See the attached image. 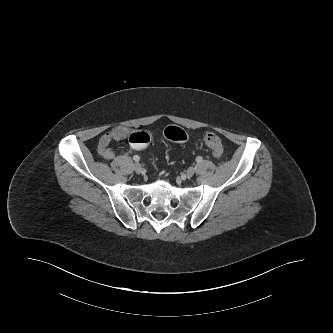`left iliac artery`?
Instances as JSON below:
<instances>
[{"mask_svg": "<svg viewBox=\"0 0 333 333\" xmlns=\"http://www.w3.org/2000/svg\"><path fill=\"white\" fill-rule=\"evenodd\" d=\"M196 161H197V162H201V161H202V157L198 156V157L196 158Z\"/></svg>", "mask_w": 333, "mask_h": 333, "instance_id": "1", "label": "left iliac artery"}]
</instances>
